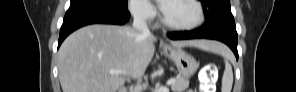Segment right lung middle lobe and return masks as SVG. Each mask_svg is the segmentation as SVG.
Returning a JSON list of instances; mask_svg holds the SVG:
<instances>
[{
  "instance_id": "dd1d6c3e",
  "label": "right lung middle lobe",
  "mask_w": 296,
  "mask_h": 92,
  "mask_svg": "<svg viewBox=\"0 0 296 92\" xmlns=\"http://www.w3.org/2000/svg\"><path fill=\"white\" fill-rule=\"evenodd\" d=\"M78 1H96L119 9H124L127 7V0H71V3Z\"/></svg>"
}]
</instances>
